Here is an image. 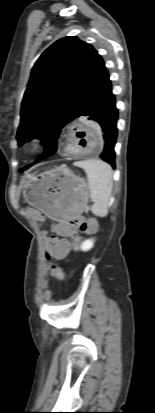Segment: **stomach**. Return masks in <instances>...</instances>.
Listing matches in <instances>:
<instances>
[{
    "mask_svg": "<svg viewBox=\"0 0 155 413\" xmlns=\"http://www.w3.org/2000/svg\"><path fill=\"white\" fill-rule=\"evenodd\" d=\"M24 198L47 217L64 221L79 216L87 207L89 186L65 166L29 176Z\"/></svg>",
    "mask_w": 155,
    "mask_h": 413,
    "instance_id": "0dacf381",
    "label": "stomach"
}]
</instances>
